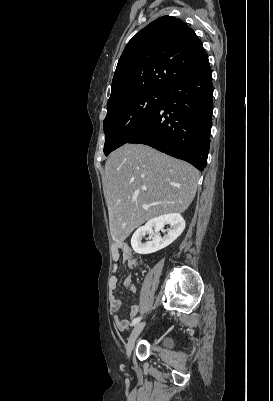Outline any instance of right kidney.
I'll return each mask as SVG.
<instances>
[{"label": "right kidney", "mask_w": 273, "mask_h": 401, "mask_svg": "<svg viewBox=\"0 0 273 401\" xmlns=\"http://www.w3.org/2000/svg\"><path fill=\"white\" fill-rule=\"evenodd\" d=\"M164 225H170L168 235L161 237L159 231H163ZM152 229H155V235L152 241H147V243H142V237L149 233L153 235ZM185 229V221L179 213H170V215H161V217H156V219H150L144 227H139L135 231L131 239V247L135 253L139 255H150V253H156L160 249H165L168 245H171Z\"/></svg>", "instance_id": "right-kidney-1"}]
</instances>
